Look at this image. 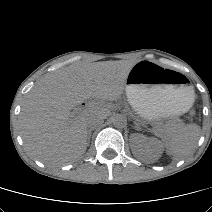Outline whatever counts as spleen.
Masks as SVG:
<instances>
[{
    "label": "spleen",
    "instance_id": "3e777b00",
    "mask_svg": "<svg viewBox=\"0 0 212 212\" xmlns=\"http://www.w3.org/2000/svg\"><path fill=\"white\" fill-rule=\"evenodd\" d=\"M200 131V127L196 124H188L182 127L166 143L167 154L173 156L174 160L191 154L199 138Z\"/></svg>",
    "mask_w": 212,
    "mask_h": 212
}]
</instances>
